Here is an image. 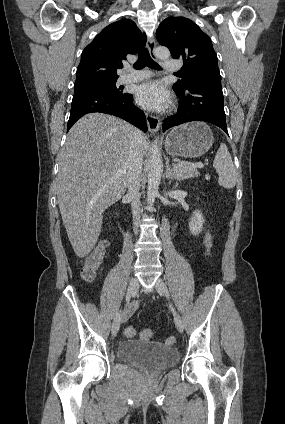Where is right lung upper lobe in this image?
<instances>
[{
	"instance_id": "cb5924a9",
	"label": "right lung upper lobe",
	"mask_w": 285,
	"mask_h": 424,
	"mask_svg": "<svg viewBox=\"0 0 285 424\" xmlns=\"http://www.w3.org/2000/svg\"><path fill=\"white\" fill-rule=\"evenodd\" d=\"M146 36L135 22L122 19L105 27L83 50L75 84L117 80L116 73L129 54L143 48Z\"/></svg>"
}]
</instances>
